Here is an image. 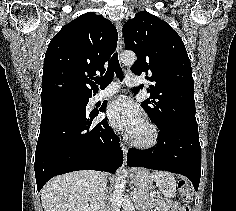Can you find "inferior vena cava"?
<instances>
[{
	"label": "inferior vena cava",
	"mask_w": 236,
	"mask_h": 211,
	"mask_svg": "<svg viewBox=\"0 0 236 211\" xmlns=\"http://www.w3.org/2000/svg\"><path fill=\"white\" fill-rule=\"evenodd\" d=\"M106 185L107 183L104 174L98 173L90 199L91 211H105Z\"/></svg>",
	"instance_id": "inferior-vena-cava-1"
}]
</instances>
